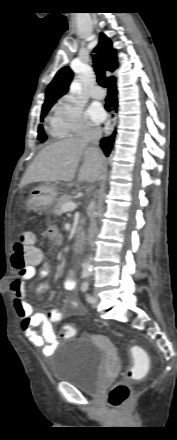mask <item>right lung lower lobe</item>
I'll list each match as a JSON object with an SVG mask.
<instances>
[{"instance_id": "obj_1", "label": "right lung lower lobe", "mask_w": 177, "mask_h": 440, "mask_svg": "<svg viewBox=\"0 0 177 440\" xmlns=\"http://www.w3.org/2000/svg\"><path fill=\"white\" fill-rule=\"evenodd\" d=\"M108 85H109V89H108V95L106 97L105 109L110 111V109H116L117 104H118L115 77H111L108 79ZM115 133L116 132L114 131L111 136H109L107 138H103L100 142L101 143L100 146L103 149L106 156H109L110 151L113 147Z\"/></svg>"}]
</instances>
